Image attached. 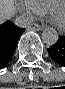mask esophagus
I'll return each mask as SVG.
<instances>
[{"label":"esophagus","mask_w":65,"mask_h":89,"mask_svg":"<svg viewBox=\"0 0 65 89\" xmlns=\"http://www.w3.org/2000/svg\"><path fill=\"white\" fill-rule=\"evenodd\" d=\"M30 29L40 31V30L43 29V26L40 25V24H36V23H35V24H31V25H30Z\"/></svg>","instance_id":"1"}]
</instances>
